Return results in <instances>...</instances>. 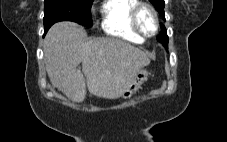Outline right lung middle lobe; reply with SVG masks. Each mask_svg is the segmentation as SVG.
Here are the masks:
<instances>
[{
  "mask_svg": "<svg viewBox=\"0 0 227 142\" xmlns=\"http://www.w3.org/2000/svg\"><path fill=\"white\" fill-rule=\"evenodd\" d=\"M93 0H45L44 31L58 21H74L81 25H93L90 9Z\"/></svg>",
  "mask_w": 227,
  "mask_h": 142,
  "instance_id": "obj_1",
  "label": "right lung middle lobe"
}]
</instances>
